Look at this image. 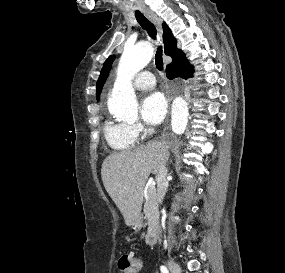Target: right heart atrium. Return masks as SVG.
<instances>
[{"mask_svg":"<svg viewBox=\"0 0 285 273\" xmlns=\"http://www.w3.org/2000/svg\"><path fill=\"white\" fill-rule=\"evenodd\" d=\"M132 131L136 134L139 135L143 131V126L140 123H135L130 125Z\"/></svg>","mask_w":285,"mask_h":273,"instance_id":"1","label":"right heart atrium"}]
</instances>
